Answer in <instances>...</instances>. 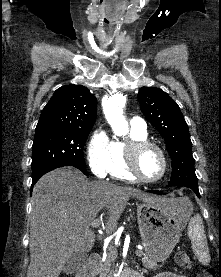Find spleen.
Segmentation results:
<instances>
[{"label": "spleen", "instance_id": "spleen-1", "mask_svg": "<svg viewBox=\"0 0 221 277\" xmlns=\"http://www.w3.org/2000/svg\"><path fill=\"white\" fill-rule=\"evenodd\" d=\"M188 236L191 240L192 250L195 256L202 264L207 265L210 262V255L203 221L200 215L197 214L191 218L188 225Z\"/></svg>", "mask_w": 221, "mask_h": 277}]
</instances>
